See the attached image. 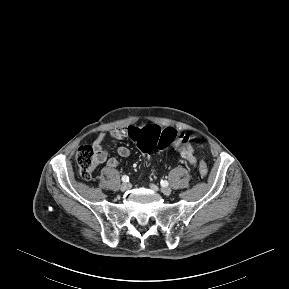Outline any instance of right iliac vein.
I'll use <instances>...</instances> for the list:
<instances>
[{"instance_id": "obj_1", "label": "right iliac vein", "mask_w": 289, "mask_h": 289, "mask_svg": "<svg viewBox=\"0 0 289 289\" xmlns=\"http://www.w3.org/2000/svg\"><path fill=\"white\" fill-rule=\"evenodd\" d=\"M131 188V184L130 183H123L120 187L121 191L125 192L127 190H129Z\"/></svg>"}]
</instances>
